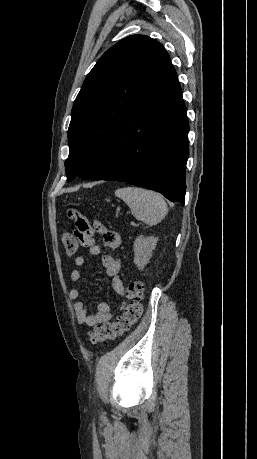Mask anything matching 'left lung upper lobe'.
<instances>
[{
  "mask_svg": "<svg viewBox=\"0 0 257 459\" xmlns=\"http://www.w3.org/2000/svg\"><path fill=\"white\" fill-rule=\"evenodd\" d=\"M168 58L159 42L144 35L128 36L102 55L73 104L67 181L78 174L97 177L110 157L119 124Z\"/></svg>",
  "mask_w": 257,
  "mask_h": 459,
  "instance_id": "obj_1",
  "label": "left lung upper lobe"
}]
</instances>
